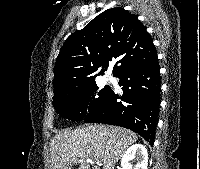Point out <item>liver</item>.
Returning a JSON list of instances; mask_svg holds the SVG:
<instances>
[{"instance_id": "6515ba94", "label": "liver", "mask_w": 200, "mask_h": 169, "mask_svg": "<svg viewBox=\"0 0 200 169\" xmlns=\"http://www.w3.org/2000/svg\"><path fill=\"white\" fill-rule=\"evenodd\" d=\"M136 133L116 126L94 124L58 132L51 143V169H90V162L114 169L125 150L137 141Z\"/></svg>"}]
</instances>
